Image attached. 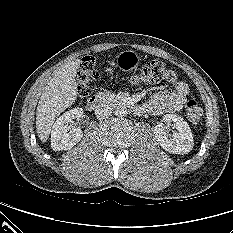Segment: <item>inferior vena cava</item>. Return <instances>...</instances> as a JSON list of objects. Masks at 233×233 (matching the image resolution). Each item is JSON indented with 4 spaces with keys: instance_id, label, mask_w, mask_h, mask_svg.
Returning <instances> with one entry per match:
<instances>
[{
    "instance_id": "obj_1",
    "label": "inferior vena cava",
    "mask_w": 233,
    "mask_h": 233,
    "mask_svg": "<svg viewBox=\"0 0 233 233\" xmlns=\"http://www.w3.org/2000/svg\"><path fill=\"white\" fill-rule=\"evenodd\" d=\"M111 114H112V108L106 103H102L98 105L95 110V115L98 119H106L109 116H111Z\"/></svg>"
}]
</instances>
